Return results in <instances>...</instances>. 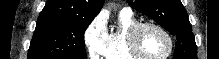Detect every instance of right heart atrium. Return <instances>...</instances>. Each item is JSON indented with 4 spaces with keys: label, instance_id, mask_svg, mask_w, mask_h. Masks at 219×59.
<instances>
[{
    "label": "right heart atrium",
    "instance_id": "1",
    "mask_svg": "<svg viewBox=\"0 0 219 59\" xmlns=\"http://www.w3.org/2000/svg\"><path fill=\"white\" fill-rule=\"evenodd\" d=\"M83 39L91 58L97 59L102 56L108 40V30L101 16L96 17L89 24L84 32Z\"/></svg>",
    "mask_w": 219,
    "mask_h": 59
}]
</instances>
